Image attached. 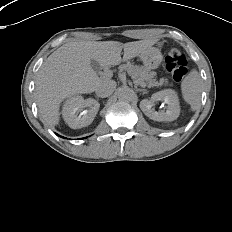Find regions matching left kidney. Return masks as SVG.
Listing matches in <instances>:
<instances>
[{
	"mask_svg": "<svg viewBox=\"0 0 232 232\" xmlns=\"http://www.w3.org/2000/svg\"><path fill=\"white\" fill-rule=\"evenodd\" d=\"M164 101L167 104L166 110L157 112L153 109L155 102ZM140 108L150 119L158 122L174 121L179 117L180 104L176 92L172 89H165L154 93L151 99H143Z\"/></svg>",
	"mask_w": 232,
	"mask_h": 232,
	"instance_id": "left-kidney-1",
	"label": "left kidney"
}]
</instances>
